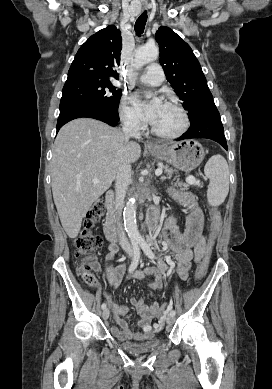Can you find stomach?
Masks as SVG:
<instances>
[{
	"label": "stomach",
	"mask_w": 272,
	"mask_h": 389,
	"mask_svg": "<svg viewBox=\"0 0 272 389\" xmlns=\"http://www.w3.org/2000/svg\"><path fill=\"white\" fill-rule=\"evenodd\" d=\"M149 153L187 173L198 167L205 157L204 148L195 140L159 145L156 149H149Z\"/></svg>",
	"instance_id": "0dacf381"
}]
</instances>
